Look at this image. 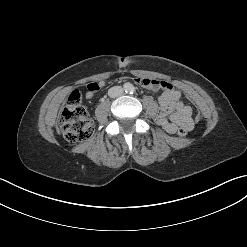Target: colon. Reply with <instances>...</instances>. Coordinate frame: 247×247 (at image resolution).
I'll list each match as a JSON object with an SVG mask.
<instances>
[{
	"instance_id": "obj_1",
	"label": "colon",
	"mask_w": 247,
	"mask_h": 247,
	"mask_svg": "<svg viewBox=\"0 0 247 247\" xmlns=\"http://www.w3.org/2000/svg\"><path fill=\"white\" fill-rule=\"evenodd\" d=\"M89 89H94L91 83L87 86ZM59 125L64 138L71 143L83 142L90 139L93 135V123L84 107L80 104V94L78 91H73L69 98L68 104L63 109ZM188 130L180 127L177 131L179 136H186Z\"/></svg>"
}]
</instances>
